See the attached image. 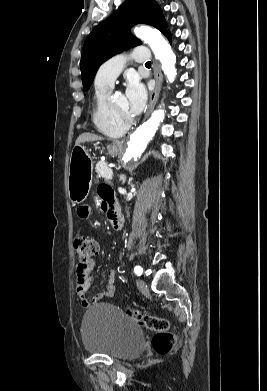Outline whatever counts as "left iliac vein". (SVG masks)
<instances>
[{"label":"left iliac vein","instance_id":"obj_1","mask_svg":"<svg viewBox=\"0 0 267 391\" xmlns=\"http://www.w3.org/2000/svg\"><path fill=\"white\" fill-rule=\"evenodd\" d=\"M137 286L141 292L147 291V284L144 280L138 279L137 280Z\"/></svg>","mask_w":267,"mask_h":391}]
</instances>
